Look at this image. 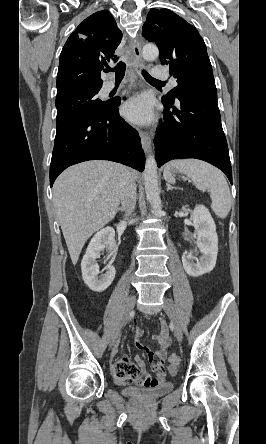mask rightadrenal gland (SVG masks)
Listing matches in <instances>:
<instances>
[{
	"instance_id": "2a0ac1e0",
	"label": "right adrenal gland",
	"mask_w": 266,
	"mask_h": 444,
	"mask_svg": "<svg viewBox=\"0 0 266 444\" xmlns=\"http://www.w3.org/2000/svg\"><path fill=\"white\" fill-rule=\"evenodd\" d=\"M118 211H121V212H122V211H123V209H122V208H119V209H118Z\"/></svg>"
}]
</instances>
